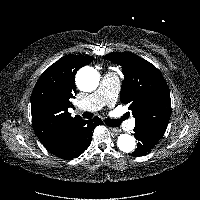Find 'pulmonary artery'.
<instances>
[{
  "mask_svg": "<svg viewBox=\"0 0 200 200\" xmlns=\"http://www.w3.org/2000/svg\"><path fill=\"white\" fill-rule=\"evenodd\" d=\"M120 90V80L115 73L108 72L103 75L98 90L87 97L84 103H81L79 109L91 107L92 110H99L103 106L113 105ZM129 126L134 125V120L129 121Z\"/></svg>",
  "mask_w": 200,
  "mask_h": 200,
  "instance_id": "pulmonary-artery-1",
  "label": "pulmonary artery"
}]
</instances>
